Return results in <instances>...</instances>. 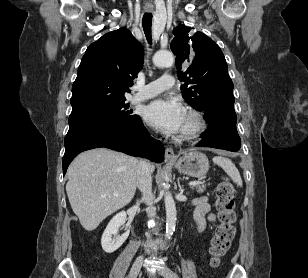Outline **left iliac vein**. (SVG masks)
<instances>
[{"label": "left iliac vein", "mask_w": 308, "mask_h": 278, "mask_svg": "<svg viewBox=\"0 0 308 278\" xmlns=\"http://www.w3.org/2000/svg\"><path fill=\"white\" fill-rule=\"evenodd\" d=\"M160 274L164 277V278H179L177 276L176 273H174L172 270H170L169 268L167 267H163L161 270H160Z\"/></svg>", "instance_id": "1"}]
</instances>
